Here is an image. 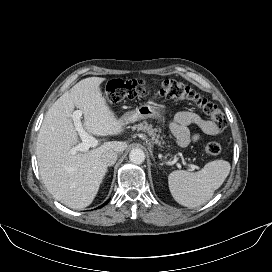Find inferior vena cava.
Listing matches in <instances>:
<instances>
[{
	"label": "inferior vena cava",
	"instance_id": "obj_1",
	"mask_svg": "<svg viewBox=\"0 0 272 272\" xmlns=\"http://www.w3.org/2000/svg\"><path fill=\"white\" fill-rule=\"evenodd\" d=\"M101 159L103 161V163L107 166H112L115 164L116 160H117V153L115 151H105L102 156Z\"/></svg>",
	"mask_w": 272,
	"mask_h": 272
}]
</instances>
